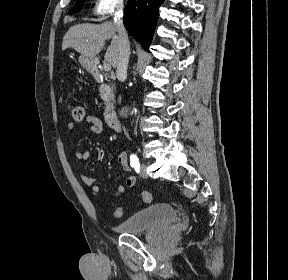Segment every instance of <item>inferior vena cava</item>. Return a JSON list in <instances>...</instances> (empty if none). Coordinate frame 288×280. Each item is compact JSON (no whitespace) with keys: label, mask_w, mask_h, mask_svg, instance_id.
<instances>
[{"label":"inferior vena cava","mask_w":288,"mask_h":280,"mask_svg":"<svg viewBox=\"0 0 288 280\" xmlns=\"http://www.w3.org/2000/svg\"><path fill=\"white\" fill-rule=\"evenodd\" d=\"M123 4H119L116 7V12L114 15V25L117 28L120 48L117 61L116 75L121 81H124L127 77V66L130 56V44L128 40L127 31L123 24Z\"/></svg>","instance_id":"inferior-vena-cava-1"}]
</instances>
